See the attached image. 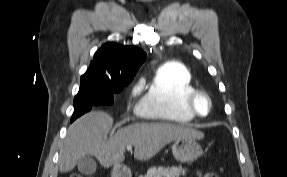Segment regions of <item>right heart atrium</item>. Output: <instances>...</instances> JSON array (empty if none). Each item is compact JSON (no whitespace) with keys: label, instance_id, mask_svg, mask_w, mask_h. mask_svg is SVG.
Here are the masks:
<instances>
[{"label":"right heart atrium","instance_id":"obj_1","mask_svg":"<svg viewBox=\"0 0 287 177\" xmlns=\"http://www.w3.org/2000/svg\"><path fill=\"white\" fill-rule=\"evenodd\" d=\"M141 89H142V83L137 82L131 89V97H136L137 95H139Z\"/></svg>","mask_w":287,"mask_h":177}]
</instances>
